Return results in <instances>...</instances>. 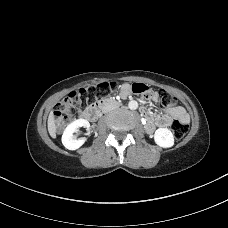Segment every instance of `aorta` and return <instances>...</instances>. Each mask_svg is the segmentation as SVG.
<instances>
[{
  "mask_svg": "<svg viewBox=\"0 0 228 228\" xmlns=\"http://www.w3.org/2000/svg\"><path fill=\"white\" fill-rule=\"evenodd\" d=\"M128 107H129V109H131V110H135V109L138 108V102L135 101V100H131V101H129V103H128Z\"/></svg>",
  "mask_w": 228,
  "mask_h": 228,
  "instance_id": "obj_1",
  "label": "aorta"
}]
</instances>
